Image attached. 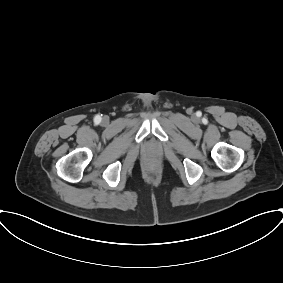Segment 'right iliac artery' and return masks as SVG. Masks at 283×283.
Returning <instances> with one entry per match:
<instances>
[{
	"label": "right iliac artery",
	"mask_w": 283,
	"mask_h": 283,
	"mask_svg": "<svg viewBox=\"0 0 283 283\" xmlns=\"http://www.w3.org/2000/svg\"><path fill=\"white\" fill-rule=\"evenodd\" d=\"M96 123H99L101 121V117L99 115L95 116L94 118Z\"/></svg>",
	"instance_id": "right-iliac-artery-1"
}]
</instances>
